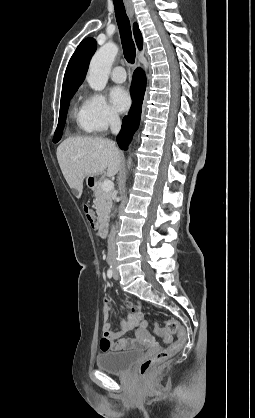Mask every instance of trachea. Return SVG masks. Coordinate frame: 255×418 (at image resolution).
Instances as JSON below:
<instances>
[{
	"label": "trachea",
	"mask_w": 255,
	"mask_h": 418,
	"mask_svg": "<svg viewBox=\"0 0 255 418\" xmlns=\"http://www.w3.org/2000/svg\"><path fill=\"white\" fill-rule=\"evenodd\" d=\"M115 16L120 32L123 53L129 64H134L136 50L132 39L131 26L122 0H113Z\"/></svg>",
	"instance_id": "1"
}]
</instances>
